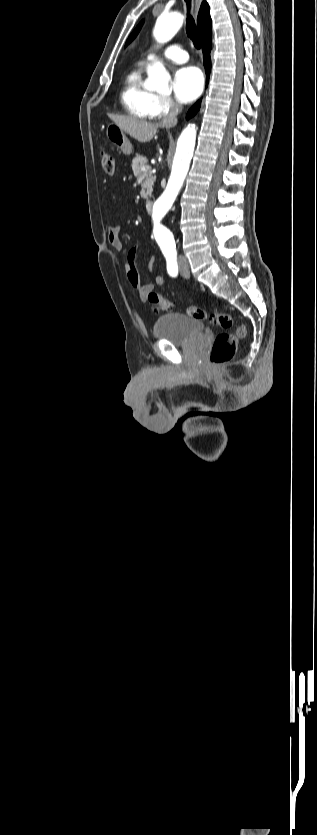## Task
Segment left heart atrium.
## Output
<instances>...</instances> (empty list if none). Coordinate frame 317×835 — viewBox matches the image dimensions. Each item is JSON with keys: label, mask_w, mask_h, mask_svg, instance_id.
Wrapping results in <instances>:
<instances>
[{"label": "left heart atrium", "mask_w": 317, "mask_h": 835, "mask_svg": "<svg viewBox=\"0 0 317 835\" xmlns=\"http://www.w3.org/2000/svg\"><path fill=\"white\" fill-rule=\"evenodd\" d=\"M203 89V75L194 66L178 69L173 79V90L180 102L187 103L197 98Z\"/></svg>", "instance_id": "1"}]
</instances>
